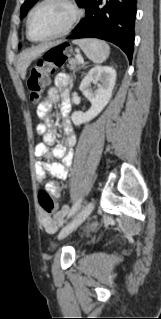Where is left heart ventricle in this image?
<instances>
[{"label":"left heart ventricle","instance_id":"b2bd125f","mask_svg":"<svg viewBox=\"0 0 161 319\" xmlns=\"http://www.w3.org/2000/svg\"><path fill=\"white\" fill-rule=\"evenodd\" d=\"M71 16L70 9L60 2H49L33 15L30 25L35 39L46 38L60 31Z\"/></svg>","mask_w":161,"mask_h":319}]
</instances>
